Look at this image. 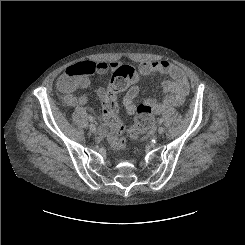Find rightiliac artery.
I'll return each mask as SVG.
<instances>
[{
  "mask_svg": "<svg viewBox=\"0 0 245 245\" xmlns=\"http://www.w3.org/2000/svg\"><path fill=\"white\" fill-rule=\"evenodd\" d=\"M89 121H93V117L91 115L88 116Z\"/></svg>",
  "mask_w": 245,
  "mask_h": 245,
  "instance_id": "82829eb1",
  "label": "right iliac artery"
}]
</instances>
